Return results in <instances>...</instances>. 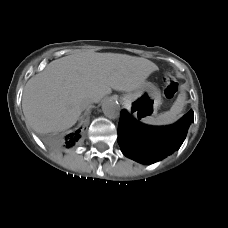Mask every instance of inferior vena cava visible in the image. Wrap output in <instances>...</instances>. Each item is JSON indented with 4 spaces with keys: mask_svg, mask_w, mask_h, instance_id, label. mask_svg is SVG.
<instances>
[{
    "mask_svg": "<svg viewBox=\"0 0 228 228\" xmlns=\"http://www.w3.org/2000/svg\"><path fill=\"white\" fill-rule=\"evenodd\" d=\"M92 103H93V101L90 98H84L81 102V107L84 110Z\"/></svg>",
    "mask_w": 228,
    "mask_h": 228,
    "instance_id": "obj_1",
    "label": "inferior vena cava"
}]
</instances>
